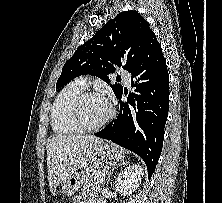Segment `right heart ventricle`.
Here are the masks:
<instances>
[{"label":"right heart ventricle","instance_id":"e07e8e85","mask_svg":"<svg viewBox=\"0 0 222 203\" xmlns=\"http://www.w3.org/2000/svg\"><path fill=\"white\" fill-rule=\"evenodd\" d=\"M82 92H84V87L77 82H72L65 86L56 97L51 112V125L55 134L70 136L81 132L72 121L70 108L75 98Z\"/></svg>","mask_w":222,"mask_h":203}]
</instances>
